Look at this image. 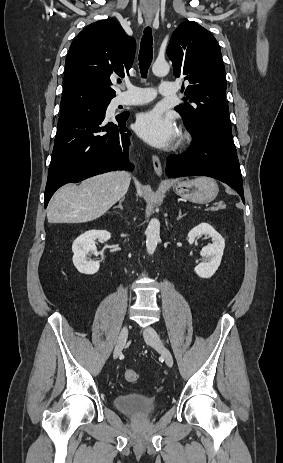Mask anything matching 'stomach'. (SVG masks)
Here are the masks:
<instances>
[{"label":"stomach","instance_id":"obj_1","mask_svg":"<svg viewBox=\"0 0 283 463\" xmlns=\"http://www.w3.org/2000/svg\"><path fill=\"white\" fill-rule=\"evenodd\" d=\"M172 187L178 196L194 203H208L217 196L219 191L216 181L209 177L176 181Z\"/></svg>","mask_w":283,"mask_h":463}]
</instances>
